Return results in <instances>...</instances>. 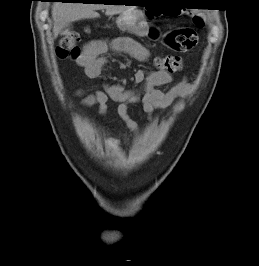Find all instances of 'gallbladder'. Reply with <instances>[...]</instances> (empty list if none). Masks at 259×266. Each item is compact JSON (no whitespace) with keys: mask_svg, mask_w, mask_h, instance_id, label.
I'll return each mask as SVG.
<instances>
[{"mask_svg":"<svg viewBox=\"0 0 259 266\" xmlns=\"http://www.w3.org/2000/svg\"><path fill=\"white\" fill-rule=\"evenodd\" d=\"M70 24H68L65 28H64V31H67L69 28H70Z\"/></svg>","mask_w":259,"mask_h":266,"instance_id":"1","label":"gallbladder"}]
</instances>
